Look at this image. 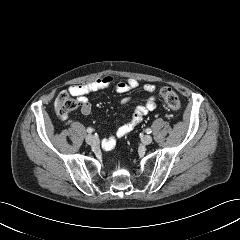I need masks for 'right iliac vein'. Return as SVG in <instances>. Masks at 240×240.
<instances>
[{
	"mask_svg": "<svg viewBox=\"0 0 240 240\" xmlns=\"http://www.w3.org/2000/svg\"><path fill=\"white\" fill-rule=\"evenodd\" d=\"M87 144L89 145H95L98 141L97 139L93 136V135H87L86 138H85Z\"/></svg>",
	"mask_w": 240,
	"mask_h": 240,
	"instance_id": "1",
	"label": "right iliac vein"
}]
</instances>
